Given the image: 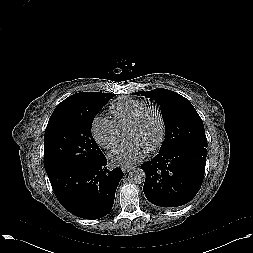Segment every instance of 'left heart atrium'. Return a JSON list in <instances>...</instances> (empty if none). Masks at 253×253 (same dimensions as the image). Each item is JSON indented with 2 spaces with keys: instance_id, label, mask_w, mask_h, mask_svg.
<instances>
[{
  "instance_id": "39dd6f15",
  "label": "left heart atrium",
  "mask_w": 253,
  "mask_h": 253,
  "mask_svg": "<svg viewBox=\"0 0 253 253\" xmlns=\"http://www.w3.org/2000/svg\"><path fill=\"white\" fill-rule=\"evenodd\" d=\"M147 151L140 141L130 139L113 149L109 158L114 165L131 166L141 160Z\"/></svg>"
}]
</instances>
